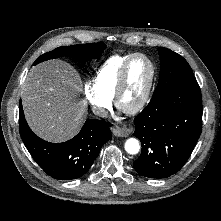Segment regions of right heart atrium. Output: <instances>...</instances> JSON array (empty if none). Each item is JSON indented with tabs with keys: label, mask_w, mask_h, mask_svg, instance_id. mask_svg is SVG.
Wrapping results in <instances>:
<instances>
[{
	"label": "right heart atrium",
	"mask_w": 221,
	"mask_h": 221,
	"mask_svg": "<svg viewBox=\"0 0 221 221\" xmlns=\"http://www.w3.org/2000/svg\"><path fill=\"white\" fill-rule=\"evenodd\" d=\"M83 91L86 100L97 115L103 116L111 107L112 99L103 95L93 82H86Z\"/></svg>",
	"instance_id": "d8ad5b80"
}]
</instances>
